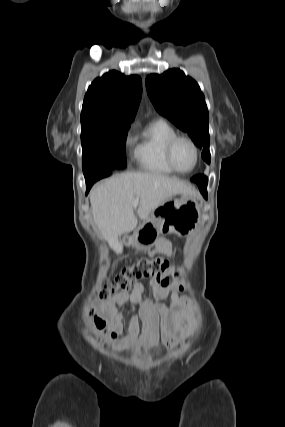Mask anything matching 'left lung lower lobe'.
<instances>
[{"label": "left lung lower lobe", "mask_w": 285, "mask_h": 427, "mask_svg": "<svg viewBox=\"0 0 285 427\" xmlns=\"http://www.w3.org/2000/svg\"><path fill=\"white\" fill-rule=\"evenodd\" d=\"M191 180L198 184L200 192L202 193L204 198H207V191H206L207 182H208L207 177L203 175H197V176H194Z\"/></svg>", "instance_id": "1"}]
</instances>
